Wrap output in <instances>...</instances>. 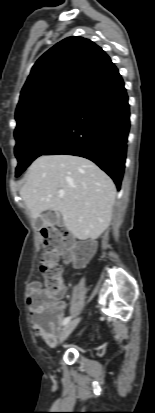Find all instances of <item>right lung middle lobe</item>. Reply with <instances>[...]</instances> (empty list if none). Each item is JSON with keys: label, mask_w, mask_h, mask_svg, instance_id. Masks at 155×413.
Returning <instances> with one entry per match:
<instances>
[{"label": "right lung middle lobe", "mask_w": 155, "mask_h": 413, "mask_svg": "<svg viewBox=\"0 0 155 413\" xmlns=\"http://www.w3.org/2000/svg\"><path fill=\"white\" fill-rule=\"evenodd\" d=\"M77 104H64L22 124L15 129V156L18 177L62 134Z\"/></svg>", "instance_id": "obj_1"}]
</instances>
